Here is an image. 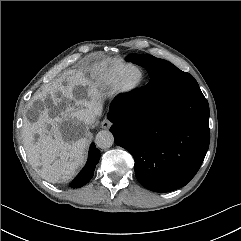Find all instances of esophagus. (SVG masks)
I'll use <instances>...</instances> for the list:
<instances>
[{"label": "esophagus", "mask_w": 241, "mask_h": 241, "mask_svg": "<svg viewBox=\"0 0 241 241\" xmlns=\"http://www.w3.org/2000/svg\"><path fill=\"white\" fill-rule=\"evenodd\" d=\"M111 125L112 123L107 118H105L101 123V127L103 129H108Z\"/></svg>", "instance_id": "1"}]
</instances>
